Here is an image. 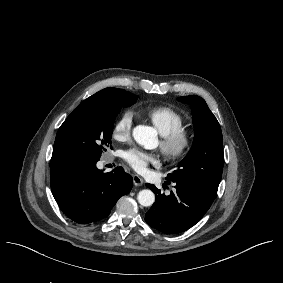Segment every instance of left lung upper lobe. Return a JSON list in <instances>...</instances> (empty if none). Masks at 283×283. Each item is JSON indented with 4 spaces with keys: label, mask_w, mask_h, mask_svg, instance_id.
Wrapping results in <instances>:
<instances>
[{
    "label": "left lung upper lobe",
    "mask_w": 283,
    "mask_h": 283,
    "mask_svg": "<svg viewBox=\"0 0 283 283\" xmlns=\"http://www.w3.org/2000/svg\"><path fill=\"white\" fill-rule=\"evenodd\" d=\"M177 100L191 106L195 136L190 151L167 179L214 201L224 164L221 127L203 98L191 95Z\"/></svg>",
    "instance_id": "5c2ea615"
}]
</instances>
